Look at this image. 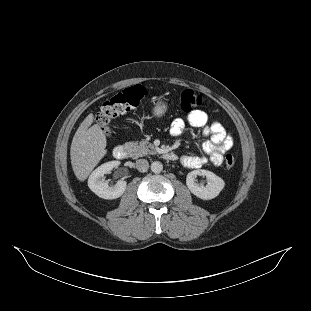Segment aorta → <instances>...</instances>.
Masks as SVG:
<instances>
[{
    "instance_id": "1",
    "label": "aorta",
    "mask_w": 311,
    "mask_h": 311,
    "mask_svg": "<svg viewBox=\"0 0 311 311\" xmlns=\"http://www.w3.org/2000/svg\"><path fill=\"white\" fill-rule=\"evenodd\" d=\"M163 170V164L160 161H154L151 164V171L154 173H160Z\"/></svg>"
}]
</instances>
